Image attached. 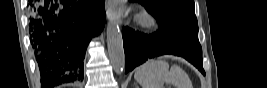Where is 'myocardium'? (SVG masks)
I'll list each match as a JSON object with an SVG mask.
<instances>
[{
    "mask_svg": "<svg viewBox=\"0 0 267 88\" xmlns=\"http://www.w3.org/2000/svg\"><path fill=\"white\" fill-rule=\"evenodd\" d=\"M137 25L146 31H156L159 28L157 18L148 11H140L135 16Z\"/></svg>",
    "mask_w": 267,
    "mask_h": 88,
    "instance_id": "obj_1",
    "label": "myocardium"
}]
</instances>
